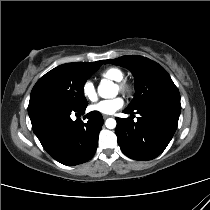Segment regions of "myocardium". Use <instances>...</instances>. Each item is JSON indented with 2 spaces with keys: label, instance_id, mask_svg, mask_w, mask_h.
<instances>
[{
  "label": "myocardium",
  "instance_id": "1",
  "mask_svg": "<svg viewBox=\"0 0 210 210\" xmlns=\"http://www.w3.org/2000/svg\"><path fill=\"white\" fill-rule=\"evenodd\" d=\"M116 87L121 93L126 94V95H129L132 92L131 83L125 79H122V80L116 82Z\"/></svg>",
  "mask_w": 210,
  "mask_h": 210
}]
</instances>
